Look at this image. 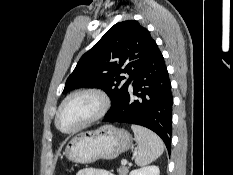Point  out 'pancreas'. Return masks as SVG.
<instances>
[{
    "instance_id": "obj_1",
    "label": "pancreas",
    "mask_w": 233,
    "mask_h": 175,
    "mask_svg": "<svg viewBox=\"0 0 233 175\" xmlns=\"http://www.w3.org/2000/svg\"><path fill=\"white\" fill-rule=\"evenodd\" d=\"M128 171L129 169L123 165L118 169L119 175H127Z\"/></svg>"
}]
</instances>
